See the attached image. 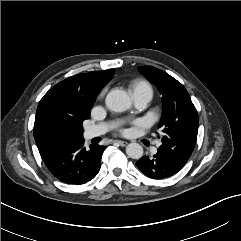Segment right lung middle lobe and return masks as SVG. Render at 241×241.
I'll use <instances>...</instances> for the list:
<instances>
[{"label": "right lung middle lobe", "instance_id": "1", "mask_svg": "<svg viewBox=\"0 0 241 241\" xmlns=\"http://www.w3.org/2000/svg\"><path fill=\"white\" fill-rule=\"evenodd\" d=\"M82 123L77 124L75 127H68L65 125H58L55 133L61 138L73 141L82 138Z\"/></svg>", "mask_w": 241, "mask_h": 241}]
</instances>
